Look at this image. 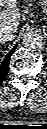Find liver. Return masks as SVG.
<instances>
[{"label":"liver","instance_id":"liver-1","mask_svg":"<svg viewBox=\"0 0 47 129\" xmlns=\"http://www.w3.org/2000/svg\"><path fill=\"white\" fill-rule=\"evenodd\" d=\"M0 5L7 8L0 12V29L9 27L16 32L20 24V13L17 8V0H0Z\"/></svg>","mask_w":47,"mask_h":129}]
</instances>
